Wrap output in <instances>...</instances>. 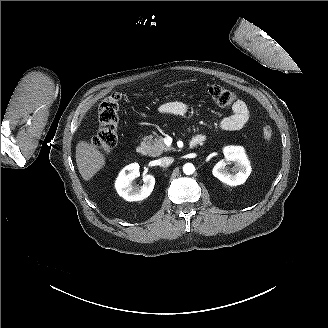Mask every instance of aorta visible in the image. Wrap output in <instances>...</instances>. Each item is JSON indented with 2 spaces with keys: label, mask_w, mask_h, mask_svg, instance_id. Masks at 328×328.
<instances>
[{
  "label": "aorta",
  "mask_w": 328,
  "mask_h": 328,
  "mask_svg": "<svg viewBox=\"0 0 328 328\" xmlns=\"http://www.w3.org/2000/svg\"><path fill=\"white\" fill-rule=\"evenodd\" d=\"M195 171V167L192 163H186L184 164L183 166V172L186 174V175H191L193 174Z\"/></svg>",
  "instance_id": "762f6f07"
}]
</instances>
